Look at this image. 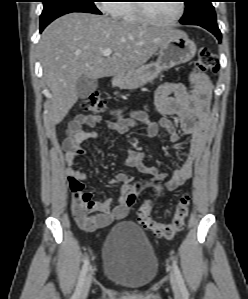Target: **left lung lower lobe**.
<instances>
[{
  "instance_id": "left-lung-lower-lobe-1",
  "label": "left lung lower lobe",
  "mask_w": 248,
  "mask_h": 299,
  "mask_svg": "<svg viewBox=\"0 0 248 299\" xmlns=\"http://www.w3.org/2000/svg\"><path fill=\"white\" fill-rule=\"evenodd\" d=\"M199 26L210 31L212 34H214L217 37L218 41L221 42V32H220L217 24H201Z\"/></svg>"
}]
</instances>
